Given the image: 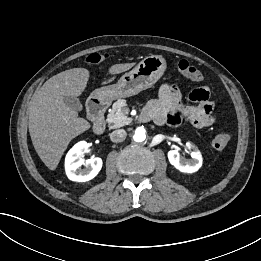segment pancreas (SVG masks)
I'll return each mask as SVG.
<instances>
[{
  "mask_svg": "<svg viewBox=\"0 0 261 261\" xmlns=\"http://www.w3.org/2000/svg\"><path fill=\"white\" fill-rule=\"evenodd\" d=\"M128 112L129 110L124 100L119 99L116 101L107 117L109 127L120 128L128 125L131 122V119L126 116Z\"/></svg>",
  "mask_w": 261,
  "mask_h": 261,
  "instance_id": "pancreas-1",
  "label": "pancreas"
}]
</instances>
